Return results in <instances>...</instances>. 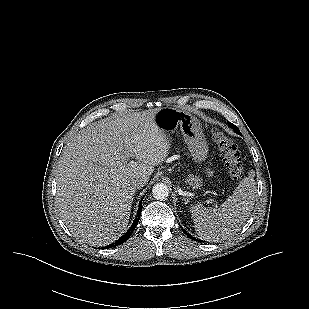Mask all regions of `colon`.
<instances>
[{
    "label": "colon",
    "instance_id": "5ec220e1",
    "mask_svg": "<svg viewBox=\"0 0 309 309\" xmlns=\"http://www.w3.org/2000/svg\"><path fill=\"white\" fill-rule=\"evenodd\" d=\"M212 139L223 155L230 177L239 179L243 173V164L236 145L219 129L212 130Z\"/></svg>",
    "mask_w": 309,
    "mask_h": 309
}]
</instances>
